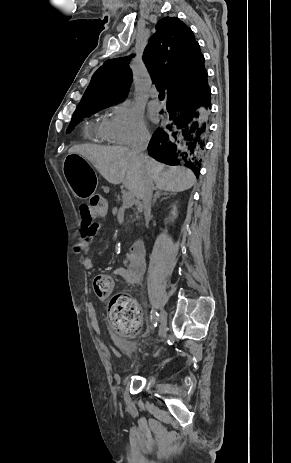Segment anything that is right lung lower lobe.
I'll return each mask as SVG.
<instances>
[{"mask_svg": "<svg viewBox=\"0 0 291 463\" xmlns=\"http://www.w3.org/2000/svg\"><path fill=\"white\" fill-rule=\"evenodd\" d=\"M210 95L206 73L198 94L167 100L172 123L154 132L148 145L149 155L165 164L184 165L198 177L208 135Z\"/></svg>", "mask_w": 291, "mask_h": 463, "instance_id": "right-lung-lower-lobe-1", "label": "right lung lower lobe"}]
</instances>
